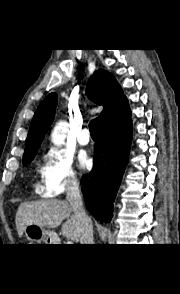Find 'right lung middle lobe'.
Wrapping results in <instances>:
<instances>
[{"mask_svg":"<svg viewBox=\"0 0 180 294\" xmlns=\"http://www.w3.org/2000/svg\"><path fill=\"white\" fill-rule=\"evenodd\" d=\"M32 160H33V157L24 159L23 164L26 165L27 163L31 162Z\"/></svg>","mask_w":180,"mask_h":294,"instance_id":"1","label":"right lung middle lobe"}]
</instances>
